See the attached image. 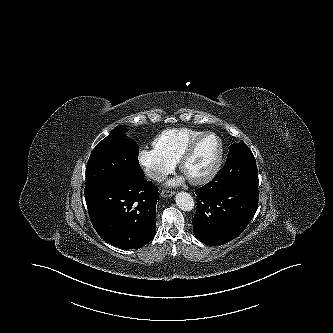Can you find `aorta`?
<instances>
[{
    "label": "aorta",
    "mask_w": 333,
    "mask_h": 333,
    "mask_svg": "<svg viewBox=\"0 0 333 333\" xmlns=\"http://www.w3.org/2000/svg\"><path fill=\"white\" fill-rule=\"evenodd\" d=\"M175 202L179 209L191 211L194 208V199L187 192H178L175 196Z\"/></svg>",
    "instance_id": "obj_1"
}]
</instances>
